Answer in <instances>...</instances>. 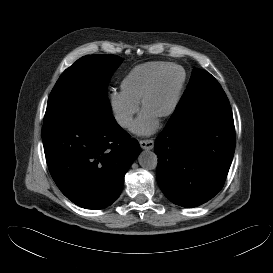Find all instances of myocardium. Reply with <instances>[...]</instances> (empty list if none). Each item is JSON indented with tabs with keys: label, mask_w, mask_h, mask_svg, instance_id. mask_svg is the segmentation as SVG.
I'll use <instances>...</instances> for the list:
<instances>
[{
	"label": "myocardium",
	"mask_w": 273,
	"mask_h": 273,
	"mask_svg": "<svg viewBox=\"0 0 273 273\" xmlns=\"http://www.w3.org/2000/svg\"><path fill=\"white\" fill-rule=\"evenodd\" d=\"M176 69L177 68H174V67H167V68L160 70L159 72H157L154 75V77L152 78V80L150 81L148 86L146 87V89L143 92L141 99H140L141 107L143 110L145 109L148 99L152 95L153 91L155 90V88H156L157 84L159 83V81L161 80V78L169 72L176 71L180 74V81L178 84V88H177V91H176V94H175V97H174V100H173V103H172L170 109L165 114H163L162 117L165 119H168L174 114V112L176 111V109L178 107V104H179V101L181 98V94H182V90L184 87V83H185L184 72L181 69H179V70H176Z\"/></svg>",
	"instance_id": "1"
}]
</instances>
